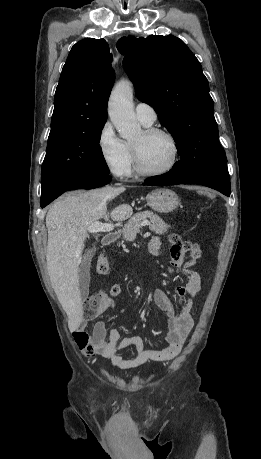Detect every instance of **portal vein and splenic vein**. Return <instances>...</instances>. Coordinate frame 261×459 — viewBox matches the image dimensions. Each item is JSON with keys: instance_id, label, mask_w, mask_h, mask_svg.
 <instances>
[{"instance_id": "1", "label": "portal vein and splenic vein", "mask_w": 261, "mask_h": 459, "mask_svg": "<svg viewBox=\"0 0 261 459\" xmlns=\"http://www.w3.org/2000/svg\"><path fill=\"white\" fill-rule=\"evenodd\" d=\"M149 223L147 221H144L141 225H148ZM114 229L113 224L109 223H102V222H94L93 224L90 225L88 228V232L90 233H98V232H110Z\"/></svg>"}]
</instances>
